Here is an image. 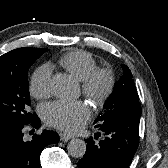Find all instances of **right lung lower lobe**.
<instances>
[{
    "instance_id": "1",
    "label": "right lung lower lobe",
    "mask_w": 168,
    "mask_h": 168,
    "mask_svg": "<svg viewBox=\"0 0 168 168\" xmlns=\"http://www.w3.org/2000/svg\"><path fill=\"white\" fill-rule=\"evenodd\" d=\"M28 124L38 129L41 121L36 116ZM28 124L10 122L0 125V168H39L44 147L59 141L58 134L48 130L25 141L23 128Z\"/></svg>"
}]
</instances>
